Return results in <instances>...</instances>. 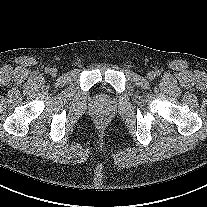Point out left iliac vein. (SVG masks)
I'll return each instance as SVG.
<instances>
[{
  "label": "left iliac vein",
  "mask_w": 207,
  "mask_h": 207,
  "mask_svg": "<svg viewBox=\"0 0 207 207\" xmlns=\"http://www.w3.org/2000/svg\"><path fill=\"white\" fill-rule=\"evenodd\" d=\"M147 78L149 80H153L155 78V72L153 71H150L148 74H147Z\"/></svg>",
  "instance_id": "1"
}]
</instances>
